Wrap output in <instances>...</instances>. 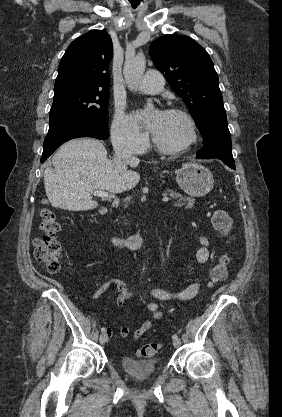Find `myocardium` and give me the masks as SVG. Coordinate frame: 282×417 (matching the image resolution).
<instances>
[{
    "label": "myocardium",
    "instance_id": "1",
    "mask_svg": "<svg viewBox=\"0 0 282 417\" xmlns=\"http://www.w3.org/2000/svg\"><path fill=\"white\" fill-rule=\"evenodd\" d=\"M164 113L178 116L185 122V125L187 128V137L181 143H178L175 145H167L161 142L153 133L152 139H153L154 144L161 150L168 151V152L181 151L189 147L190 145H192L196 141L197 134H196V127H195L194 121L192 120L190 115L178 109H167L164 111Z\"/></svg>",
    "mask_w": 282,
    "mask_h": 417
}]
</instances>
